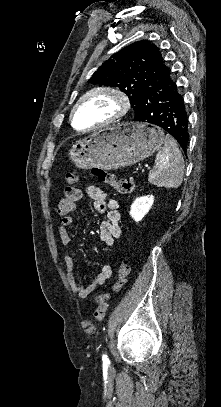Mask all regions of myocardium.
Instances as JSON below:
<instances>
[{
	"instance_id": "1",
	"label": "myocardium",
	"mask_w": 221,
	"mask_h": 407,
	"mask_svg": "<svg viewBox=\"0 0 221 407\" xmlns=\"http://www.w3.org/2000/svg\"><path fill=\"white\" fill-rule=\"evenodd\" d=\"M96 95H110L113 96L116 100L117 103V109L115 113L107 118L106 120L95 124L91 127L85 128L84 130L81 131H92L98 128H101L105 125L111 124L119 119H121L130 109L131 103L128 95L121 89L112 87V86H99L92 88L85 92L74 104L73 108L71 109L69 120L71 123V126L78 130L74 124V116L76 113V110L78 107L85 102L88 98L96 96Z\"/></svg>"
}]
</instances>
